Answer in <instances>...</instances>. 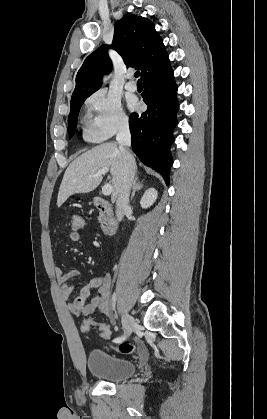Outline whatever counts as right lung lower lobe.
<instances>
[{"mask_svg": "<svg viewBox=\"0 0 267 419\" xmlns=\"http://www.w3.org/2000/svg\"><path fill=\"white\" fill-rule=\"evenodd\" d=\"M142 80V97L148 107L142 114L130 115L132 149L145 165L162 174L168 185L173 163L170 148L174 141L173 131L177 125L179 108L170 61L147 72Z\"/></svg>", "mask_w": 267, "mask_h": 419, "instance_id": "obj_1", "label": "right lung lower lobe"}]
</instances>
